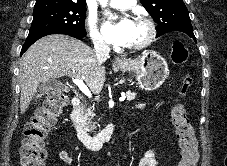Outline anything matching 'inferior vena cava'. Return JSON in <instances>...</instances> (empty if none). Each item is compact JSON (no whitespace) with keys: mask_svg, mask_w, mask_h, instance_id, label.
<instances>
[{"mask_svg":"<svg viewBox=\"0 0 227 166\" xmlns=\"http://www.w3.org/2000/svg\"><path fill=\"white\" fill-rule=\"evenodd\" d=\"M97 63L100 66L109 58L110 49L102 38L93 39Z\"/></svg>","mask_w":227,"mask_h":166,"instance_id":"obj_1","label":"inferior vena cava"}]
</instances>
